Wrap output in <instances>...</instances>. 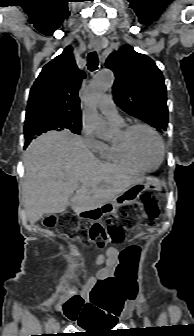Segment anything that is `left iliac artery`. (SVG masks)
<instances>
[{
	"mask_svg": "<svg viewBox=\"0 0 194 336\" xmlns=\"http://www.w3.org/2000/svg\"><path fill=\"white\" fill-rule=\"evenodd\" d=\"M144 323L147 327H150L151 323H150V320L148 319V317H145L144 318Z\"/></svg>",
	"mask_w": 194,
	"mask_h": 336,
	"instance_id": "44dca946",
	"label": "left iliac artery"
}]
</instances>
